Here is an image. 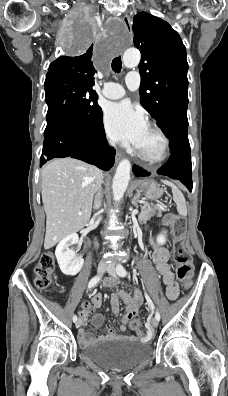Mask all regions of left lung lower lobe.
Masks as SVG:
<instances>
[{"mask_svg":"<svg viewBox=\"0 0 228 396\" xmlns=\"http://www.w3.org/2000/svg\"><path fill=\"white\" fill-rule=\"evenodd\" d=\"M163 133L170 139L171 156L157 173L180 180L191 192V157L188 141L187 106H179L169 111L160 126ZM136 176H149L150 173L134 166Z\"/></svg>","mask_w":228,"mask_h":396,"instance_id":"1","label":"left lung lower lobe"}]
</instances>
